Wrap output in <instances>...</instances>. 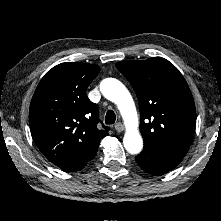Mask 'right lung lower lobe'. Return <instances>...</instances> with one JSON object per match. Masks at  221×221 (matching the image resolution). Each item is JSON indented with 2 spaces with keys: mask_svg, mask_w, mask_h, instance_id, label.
I'll use <instances>...</instances> for the list:
<instances>
[{
  "mask_svg": "<svg viewBox=\"0 0 221 221\" xmlns=\"http://www.w3.org/2000/svg\"><path fill=\"white\" fill-rule=\"evenodd\" d=\"M96 153H97V150L93 154H91L88 158L81 161L79 164H77L73 167H70V168H66L64 170H67L70 172L81 170L87 164V162H89L90 160H92L95 157Z\"/></svg>",
  "mask_w": 221,
  "mask_h": 221,
  "instance_id": "obj_1",
  "label": "right lung lower lobe"
}]
</instances>
